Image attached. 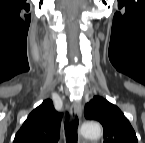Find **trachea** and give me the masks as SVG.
<instances>
[{
	"instance_id": "3493384b",
	"label": "trachea",
	"mask_w": 145,
	"mask_h": 143,
	"mask_svg": "<svg viewBox=\"0 0 145 143\" xmlns=\"http://www.w3.org/2000/svg\"><path fill=\"white\" fill-rule=\"evenodd\" d=\"M78 118L71 122L65 123V135L67 143H77V128H78Z\"/></svg>"
}]
</instances>
